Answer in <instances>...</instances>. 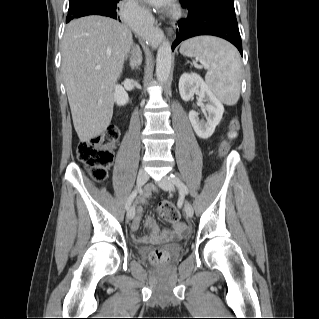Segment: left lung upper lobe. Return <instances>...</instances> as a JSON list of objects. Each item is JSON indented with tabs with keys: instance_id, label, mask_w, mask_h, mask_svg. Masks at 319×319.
Listing matches in <instances>:
<instances>
[{
	"instance_id": "1",
	"label": "left lung upper lobe",
	"mask_w": 319,
	"mask_h": 319,
	"mask_svg": "<svg viewBox=\"0 0 319 319\" xmlns=\"http://www.w3.org/2000/svg\"><path fill=\"white\" fill-rule=\"evenodd\" d=\"M182 4L220 10L235 15L233 0H180Z\"/></svg>"
}]
</instances>
